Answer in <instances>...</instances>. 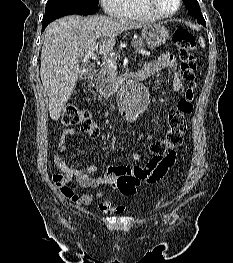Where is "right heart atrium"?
<instances>
[{"label":"right heart atrium","instance_id":"1","mask_svg":"<svg viewBox=\"0 0 233 263\" xmlns=\"http://www.w3.org/2000/svg\"><path fill=\"white\" fill-rule=\"evenodd\" d=\"M99 1L107 13L113 14L115 12L119 0H99Z\"/></svg>","mask_w":233,"mask_h":263}]
</instances>
